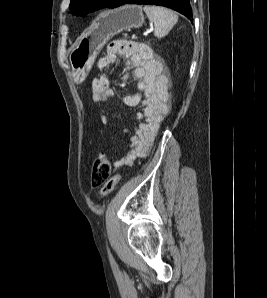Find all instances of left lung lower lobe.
<instances>
[{
	"label": "left lung lower lobe",
	"instance_id": "1",
	"mask_svg": "<svg viewBox=\"0 0 267 298\" xmlns=\"http://www.w3.org/2000/svg\"><path fill=\"white\" fill-rule=\"evenodd\" d=\"M124 4H149V5H160L171 8L187 18L192 17V10L189 0H120L118 6Z\"/></svg>",
	"mask_w": 267,
	"mask_h": 298
}]
</instances>
